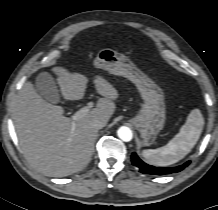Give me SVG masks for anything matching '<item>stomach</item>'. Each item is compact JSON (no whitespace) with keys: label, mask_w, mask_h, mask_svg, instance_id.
I'll use <instances>...</instances> for the list:
<instances>
[{"label":"stomach","mask_w":218,"mask_h":210,"mask_svg":"<svg viewBox=\"0 0 218 210\" xmlns=\"http://www.w3.org/2000/svg\"><path fill=\"white\" fill-rule=\"evenodd\" d=\"M94 66L123 76L135 84L144 103L138 114L131 119V123L140 133L141 144L152 145L166 120L165 95L162 88L141 72L128 57L112 49L99 51Z\"/></svg>","instance_id":"stomach-1"}]
</instances>
